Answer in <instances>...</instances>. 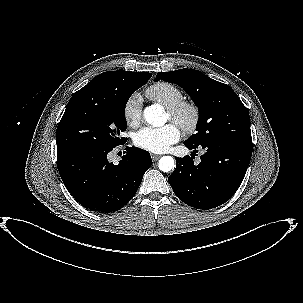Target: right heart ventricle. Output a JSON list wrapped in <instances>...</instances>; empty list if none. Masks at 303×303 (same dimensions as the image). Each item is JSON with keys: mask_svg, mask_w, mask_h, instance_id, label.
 Returning <instances> with one entry per match:
<instances>
[{"mask_svg": "<svg viewBox=\"0 0 303 303\" xmlns=\"http://www.w3.org/2000/svg\"><path fill=\"white\" fill-rule=\"evenodd\" d=\"M146 96L165 108H169L184 100L182 90L168 82L152 84L146 89Z\"/></svg>", "mask_w": 303, "mask_h": 303, "instance_id": "right-heart-ventricle-1", "label": "right heart ventricle"}]
</instances>
